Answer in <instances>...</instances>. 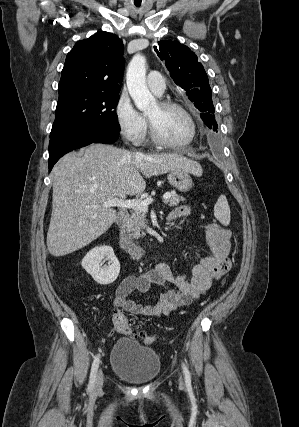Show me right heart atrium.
<instances>
[{
    "mask_svg": "<svg viewBox=\"0 0 299 427\" xmlns=\"http://www.w3.org/2000/svg\"><path fill=\"white\" fill-rule=\"evenodd\" d=\"M114 114L121 136L133 144L141 143L147 130L146 119L136 110L126 93L120 94Z\"/></svg>",
    "mask_w": 299,
    "mask_h": 427,
    "instance_id": "right-heart-atrium-1",
    "label": "right heart atrium"
}]
</instances>
